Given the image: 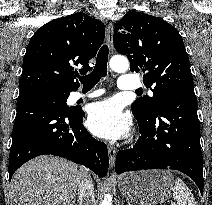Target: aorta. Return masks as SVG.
I'll use <instances>...</instances> for the list:
<instances>
[{"label":"aorta","instance_id":"1","mask_svg":"<svg viewBox=\"0 0 212 205\" xmlns=\"http://www.w3.org/2000/svg\"><path fill=\"white\" fill-rule=\"evenodd\" d=\"M110 68L115 72H126L129 69V61L124 56H113L109 62ZM101 205H112L110 195H105Z\"/></svg>","mask_w":212,"mask_h":205}]
</instances>
